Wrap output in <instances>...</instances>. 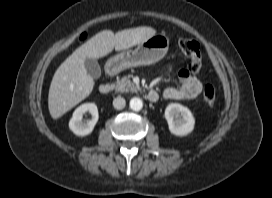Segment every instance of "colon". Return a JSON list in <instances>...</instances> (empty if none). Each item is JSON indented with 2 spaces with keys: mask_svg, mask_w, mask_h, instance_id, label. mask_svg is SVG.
Wrapping results in <instances>:
<instances>
[{
  "mask_svg": "<svg viewBox=\"0 0 272 198\" xmlns=\"http://www.w3.org/2000/svg\"><path fill=\"white\" fill-rule=\"evenodd\" d=\"M85 38V36H84ZM179 47L186 58V67L189 73L199 72L202 57L199 44L193 40L180 39ZM202 101L206 106H213L216 101V90L212 85H206L202 93Z\"/></svg>",
  "mask_w": 272,
  "mask_h": 198,
  "instance_id": "obj_1",
  "label": "colon"
}]
</instances>
